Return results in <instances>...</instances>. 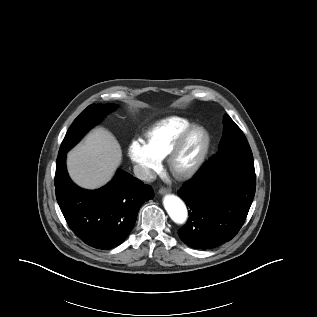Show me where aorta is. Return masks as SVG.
I'll list each match as a JSON object with an SVG mask.
<instances>
[{
  "label": "aorta",
  "mask_w": 317,
  "mask_h": 317,
  "mask_svg": "<svg viewBox=\"0 0 317 317\" xmlns=\"http://www.w3.org/2000/svg\"><path fill=\"white\" fill-rule=\"evenodd\" d=\"M163 204L174 223L182 225L187 221V208L180 198L175 195L168 194L164 197Z\"/></svg>",
  "instance_id": "aorta-1"
}]
</instances>
